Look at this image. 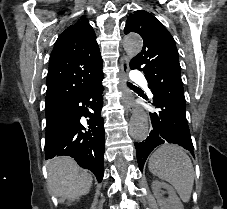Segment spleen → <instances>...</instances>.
<instances>
[{
	"instance_id": "3e777b00",
	"label": "spleen",
	"mask_w": 227,
	"mask_h": 209,
	"mask_svg": "<svg viewBox=\"0 0 227 209\" xmlns=\"http://www.w3.org/2000/svg\"><path fill=\"white\" fill-rule=\"evenodd\" d=\"M148 169L155 177L173 185L183 203L190 201L195 175L184 149L178 145H162L151 155Z\"/></svg>"
}]
</instances>
